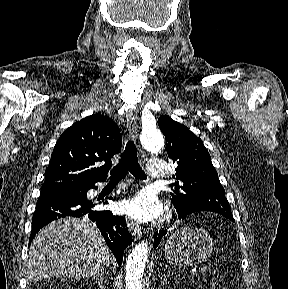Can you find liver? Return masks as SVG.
I'll return each mask as SVG.
<instances>
[{
    "label": "liver",
    "mask_w": 288,
    "mask_h": 289,
    "mask_svg": "<svg viewBox=\"0 0 288 289\" xmlns=\"http://www.w3.org/2000/svg\"><path fill=\"white\" fill-rule=\"evenodd\" d=\"M114 257L95 223L87 217L61 218L34 237L26 261V279L95 277Z\"/></svg>",
    "instance_id": "6515ba94"
}]
</instances>
